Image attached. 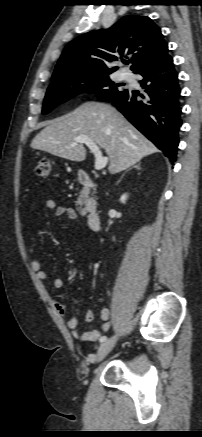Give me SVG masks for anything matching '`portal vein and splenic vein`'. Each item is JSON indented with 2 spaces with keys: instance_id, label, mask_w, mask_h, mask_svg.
<instances>
[{
  "instance_id": "18ae733b",
  "label": "portal vein and splenic vein",
  "mask_w": 202,
  "mask_h": 437,
  "mask_svg": "<svg viewBox=\"0 0 202 437\" xmlns=\"http://www.w3.org/2000/svg\"><path fill=\"white\" fill-rule=\"evenodd\" d=\"M78 143L85 144L91 150V152L94 154V156H95V169L96 170H102L103 168L106 167V165L108 163V157L102 156V153H101V151L96 143H94L91 139L87 138L86 136L81 135V136L76 137L75 142L73 144H71L70 146L73 147Z\"/></svg>"
}]
</instances>
